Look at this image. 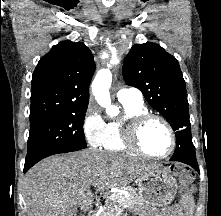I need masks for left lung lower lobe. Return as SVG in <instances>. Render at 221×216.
<instances>
[{"label": "left lung lower lobe", "mask_w": 221, "mask_h": 216, "mask_svg": "<svg viewBox=\"0 0 221 216\" xmlns=\"http://www.w3.org/2000/svg\"><path fill=\"white\" fill-rule=\"evenodd\" d=\"M170 160L188 164L199 172L195 150L186 145H176L175 152Z\"/></svg>", "instance_id": "obj_1"}]
</instances>
